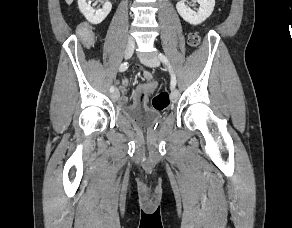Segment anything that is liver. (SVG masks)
Here are the masks:
<instances>
[{
  "instance_id": "obj_1",
  "label": "liver",
  "mask_w": 292,
  "mask_h": 228,
  "mask_svg": "<svg viewBox=\"0 0 292 228\" xmlns=\"http://www.w3.org/2000/svg\"><path fill=\"white\" fill-rule=\"evenodd\" d=\"M65 1L68 5H70L73 2V0H65Z\"/></svg>"
}]
</instances>
